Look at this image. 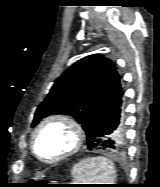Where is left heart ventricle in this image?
<instances>
[{"label":"left heart ventricle","mask_w":160,"mask_h":187,"mask_svg":"<svg viewBox=\"0 0 160 187\" xmlns=\"http://www.w3.org/2000/svg\"><path fill=\"white\" fill-rule=\"evenodd\" d=\"M73 144L70 130L62 124L45 127L37 139V152L45 159L54 158L67 151Z\"/></svg>","instance_id":"1"}]
</instances>
